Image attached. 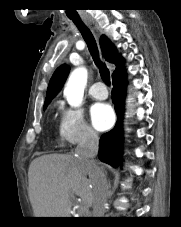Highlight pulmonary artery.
<instances>
[{
    "mask_svg": "<svg viewBox=\"0 0 181 227\" xmlns=\"http://www.w3.org/2000/svg\"><path fill=\"white\" fill-rule=\"evenodd\" d=\"M89 94L96 100H103L108 96L107 89L102 82L94 83L89 89Z\"/></svg>",
    "mask_w": 181,
    "mask_h": 227,
    "instance_id": "e3ab8cb5",
    "label": "pulmonary artery"
}]
</instances>
